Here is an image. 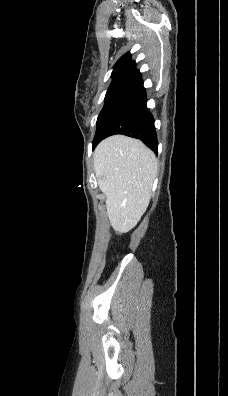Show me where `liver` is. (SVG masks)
Returning a JSON list of instances; mask_svg holds the SVG:
<instances>
[{
	"instance_id": "obj_1",
	"label": "liver",
	"mask_w": 228,
	"mask_h": 396,
	"mask_svg": "<svg viewBox=\"0 0 228 396\" xmlns=\"http://www.w3.org/2000/svg\"><path fill=\"white\" fill-rule=\"evenodd\" d=\"M157 168L155 154L134 138L111 136L95 149V174L106 196L108 218L116 230H131L145 213Z\"/></svg>"
}]
</instances>
